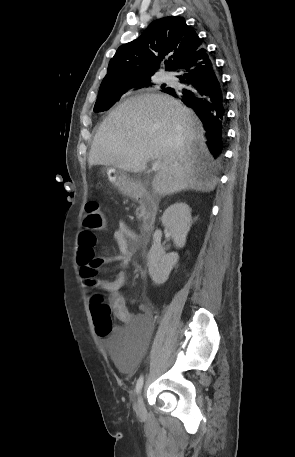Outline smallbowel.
Masks as SVG:
<instances>
[{"label": "small bowel", "mask_w": 295, "mask_h": 457, "mask_svg": "<svg viewBox=\"0 0 295 457\" xmlns=\"http://www.w3.org/2000/svg\"><path fill=\"white\" fill-rule=\"evenodd\" d=\"M113 237L118 245L120 253L116 256L98 257L95 255L94 251L97 242L96 234L88 229L82 230L78 238V262L80 264V260L84 259L89 264L94 265L96 270L103 268L110 263H116L119 268L114 280L101 283V286L112 294L111 307L115 317L120 322V324L113 329L112 336L109 338H128L136 332L146 335L151 331L153 326V313L151 307L148 304H142L140 313H132L127 308L125 299L120 292L127 281L124 268L142 246L141 238L122 220L118 221V226L113 232ZM86 284L92 285V283L87 280Z\"/></svg>", "instance_id": "small-bowel-1"}]
</instances>
